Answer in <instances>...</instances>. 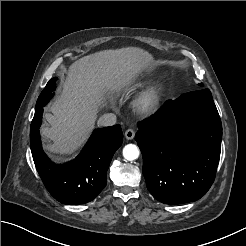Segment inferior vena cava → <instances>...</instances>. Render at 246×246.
Masks as SVG:
<instances>
[{"mask_svg": "<svg viewBox=\"0 0 246 246\" xmlns=\"http://www.w3.org/2000/svg\"><path fill=\"white\" fill-rule=\"evenodd\" d=\"M116 115L114 113H106L103 114L99 120L98 125L106 127V126H113L116 124Z\"/></svg>", "mask_w": 246, "mask_h": 246, "instance_id": "1", "label": "inferior vena cava"}]
</instances>
